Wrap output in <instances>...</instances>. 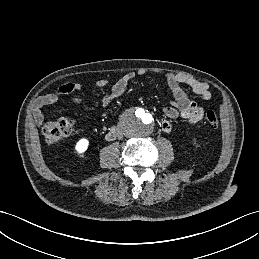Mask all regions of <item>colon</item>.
Returning a JSON list of instances; mask_svg holds the SVG:
<instances>
[{
  "label": "colon",
  "instance_id": "5ec220e1",
  "mask_svg": "<svg viewBox=\"0 0 259 259\" xmlns=\"http://www.w3.org/2000/svg\"><path fill=\"white\" fill-rule=\"evenodd\" d=\"M207 124L211 128L218 126V117L213 111H208L205 115ZM73 130V123L68 118H59L46 122L43 126V135L49 145H58L66 137H68Z\"/></svg>",
  "mask_w": 259,
  "mask_h": 259
}]
</instances>
